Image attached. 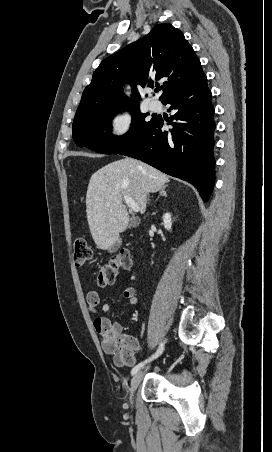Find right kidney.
Masks as SVG:
<instances>
[{"label": "right kidney", "mask_w": 272, "mask_h": 452, "mask_svg": "<svg viewBox=\"0 0 272 452\" xmlns=\"http://www.w3.org/2000/svg\"><path fill=\"white\" fill-rule=\"evenodd\" d=\"M163 222H164L165 229H167L168 231L171 230V228H172V221H171L170 213H165L163 215Z\"/></svg>", "instance_id": "obj_1"}]
</instances>
